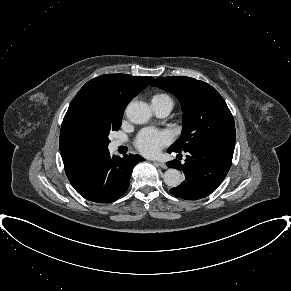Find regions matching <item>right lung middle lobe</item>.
I'll list each match as a JSON object with an SVG mask.
<instances>
[{
	"label": "right lung middle lobe",
	"mask_w": 291,
	"mask_h": 291,
	"mask_svg": "<svg viewBox=\"0 0 291 291\" xmlns=\"http://www.w3.org/2000/svg\"><path fill=\"white\" fill-rule=\"evenodd\" d=\"M122 114H104L94 118H83L72 128L69 142L76 149L100 155L108 151L111 131H118Z\"/></svg>",
	"instance_id": "1"
}]
</instances>
